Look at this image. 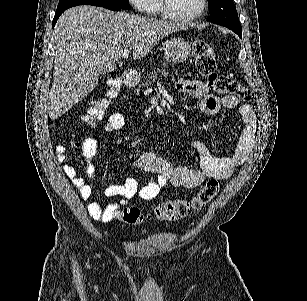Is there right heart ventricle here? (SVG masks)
<instances>
[{"mask_svg":"<svg viewBox=\"0 0 307 301\" xmlns=\"http://www.w3.org/2000/svg\"><path fill=\"white\" fill-rule=\"evenodd\" d=\"M160 0L152 1V8H156V3H159Z\"/></svg>","mask_w":307,"mask_h":301,"instance_id":"e07e8e85","label":"right heart ventricle"}]
</instances>
